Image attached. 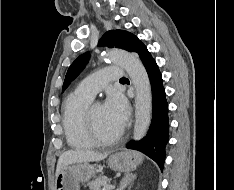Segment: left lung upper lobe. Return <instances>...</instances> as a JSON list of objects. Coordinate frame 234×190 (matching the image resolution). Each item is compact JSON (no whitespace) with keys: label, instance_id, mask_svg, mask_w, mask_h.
I'll return each instance as SVG.
<instances>
[{"label":"left lung upper lobe","instance_id":"left-lung-upper-lobe-1","mask_svg":"<svg viewBox=\"0 0 234 190\" xmlns=\"http://www.w3.org/2000/svg\"><path fill=\"white\" fill-rule=\"evenodd\" d=\"M99 45L109 48H121L129 52H137L144 44L132 33L123 30L107 31L99 41ZM90 54L84 53L80 55L69 67L65 76L62 90L74 80L88 63Z\"/></svg>","mask_w":234,"mask_h":190}]
</instances>
